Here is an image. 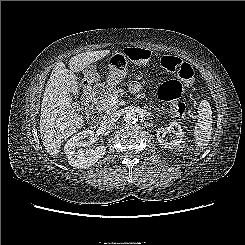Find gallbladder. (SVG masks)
Here are the masks:
<instances>
[{
	"label": "gallbladder",
	"mask_w": 245,
	"mask_h": 245,
	"mask_svg": "<svg viewBox=\"0 0 245 245\" xmlns=\"http://www.w3.org/2000/svg\"><path fill=\"white\" fill-rule=\"evenodd\" d=\"M72 106L78 111L80 109V106L77 102H72Z\"/></svg>",
	"instance_id": "gallbladder-1"
}]
</instances>
